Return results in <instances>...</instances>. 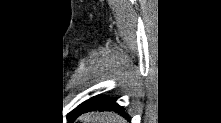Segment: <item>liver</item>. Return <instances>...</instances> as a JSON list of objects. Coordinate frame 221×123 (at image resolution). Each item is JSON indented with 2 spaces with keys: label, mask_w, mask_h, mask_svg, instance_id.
Returning <instances> with one entry per match:
<instances>
[{
  "label": "liver",
  "mask_w": 221,
  "mask_h": 123,
  "mask_svg": "<svg viewBox=\"0 0 221 123\" xmlns=\"http://www.w3.org/2000/svg\"><path fill=\"white\" fill-rule=\"evenodd\" d=\"M83 123H127L124 118L113 112H91L81 117Z\"/></svg>",
  "instance_id": "obj_1"
}]
</instances>
